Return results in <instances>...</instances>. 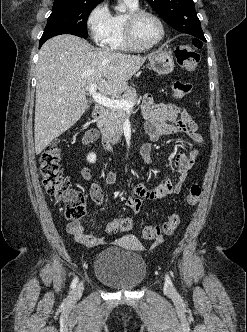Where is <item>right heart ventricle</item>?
<instances>
[{
  "label": "right heart ventricle",
  "mask_w": 247,
  "mask_h": 332,
  "mask_svg": "<svg viewBox=\"0 0 247 332\" xmlns=\"http://www.w3.org/2000/svg\"><path fill=\"white\" fill-rule=\"evenodd\" d=\"M128 11L138 9V3H131L128 0H124ZM126 14L115 13L111 15V23L108 36L105 41V47L115 51H130L132 47L128 45L124 36V19Z\"/></svg>",
  "instance_id": "e07e8e85"
}]
</instances>
